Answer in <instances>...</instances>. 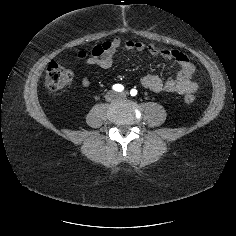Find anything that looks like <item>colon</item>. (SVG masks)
I'll return each instance as SVG.
<instances>
[{"mask_svg":"<svg viewBox=\"0 0 236 236\" xmlns=\"http://www.w3.org/2000/svg\"><path fill=\"white\" fill-rule=\"evenodd\" d=\"M111 44L109 42H105L103 44L95 46L90 54L94 57H100L104 52H106L110 48ZM80 58H84L87 56V53L81 51L78 53ZM73 79V73L64 67L60 62L54 61L48 65L45 77V83L48 90L51 92H56L63 89L67 86ZM185 101L187 103H193L194 97L192 95H186Z\"/></svg>","mask_w":236,"mask_h":236,"instance_id":"5ec220e1","label":"colon"}]
</instances>
